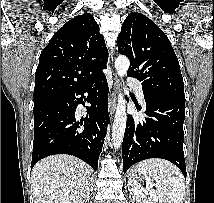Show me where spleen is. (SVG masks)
<instances>
[{
  "label": "spleen",
  "instance_id": "obj_1",
  "mask_svg": "<svg viewBox=\"0 0 214 203\" xmlns=\"http://www.w3.org/2000/svg\"><path fill=\"white\" fill-rule=\"evenodd\" d=\"M139 170L147 175L146 185L159 203H183L185 183L180 170L165 160L149 159L138 164ZM155 186V191L152 186ZM152 198V197H151Z\"/></svg>",
  "mask_w": 214,
  "mask_h": 203
}]
</instances>
